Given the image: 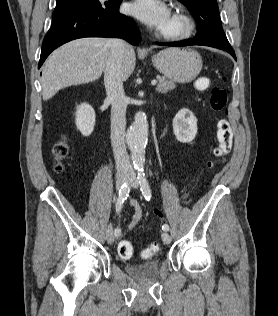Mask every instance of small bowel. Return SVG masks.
I'll list each match as a JSON object with an SVG mask.
<instances>
[{
  "instance_id": "small-bowel-1",
  "label": "small bowel",
  "mask_w": 278,
  "mask_h": 316,
  "mask_svg": "<svg viewBox=\"0 0 278 316\" xmlns=\"http://www.w3.org/2000/svg\"><path fill=\"white\" fill-rule=\"evenodd\" d=\"M130 205L133 207V210H134V213H133V216H132V220H131V222L129 224V229H132L142 219V209H141L139 203L136 200H131L130 201ZM155 215L157 217H161L162 216L161 213H159V212H156Z\"/></svg>"
}]
</instances>
